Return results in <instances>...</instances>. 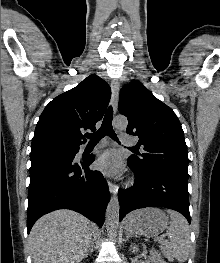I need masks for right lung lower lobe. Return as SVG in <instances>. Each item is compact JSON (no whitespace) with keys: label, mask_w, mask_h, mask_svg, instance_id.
I'll use <instances>...</instances> for the list:
<instances>
[{"label":"right lung lower lobe","mask_w":220,"mask_h":263,"mask_svg":"<svg viewBox=\"0 0 220 263\" xmlns=\"http://www.w3.org/2000/svg\"><path fill=\"white\" fill-rule=\"evenodd\" d=\"M73 151L44 149L31 151L27 229L44 214L71 209L102 227L110 200L108 185L99 171L89 170L90 156L75 160Z\"/></svg>","instance_id":"1"}]
</instances>
